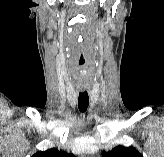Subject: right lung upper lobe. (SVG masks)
Instances as JSON below:
<instances>
[{"instance_id":"right-lung-upper-lobe-1","label":"right lung upper lobe","mask_w":164,"mask_h":157,"mask_svg":"<svg viewBox=\"0 0 164 157\" xmlns=\"http://www.w3.org/2000/svg\"><path fill=\"white\" fill-rule=\"evenodd\" d=\"M31 157H75L73 154H68L64 151H59L56 148L48 149L46 151H40Z\"/></svg>"}]
</instances>
